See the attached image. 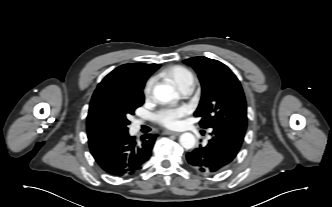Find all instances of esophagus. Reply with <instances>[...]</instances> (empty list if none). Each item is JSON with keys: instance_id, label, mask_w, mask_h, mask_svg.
<instances>
[{"instance_id": "obj_1", "label": "esophagus", "mask_w": 332, "mask_h": 207, "mask_svg": "<svg viewBox=\"0 0 332 207\" xmlns=\"http://www.w3.org/2000/svg\"><path fill=\"white\" fill-rule=\"evenodd\" d=\"M164 135H180L179 132H175V131H170V130H164L163 131Z\"/></svg>"}]
</instances>
